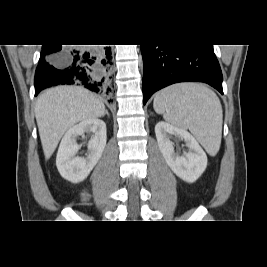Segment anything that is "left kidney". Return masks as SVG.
Instances as JSON below:
<instances>
[{"instance_id":"1","label":"left kidney","mask_w":267,"mask_h":267,"mask_svg":"<svg viewBox=\"0 0 267 267\" xmlns=\"http://www.w3.org/2000/svg\"><path fill=\"white\" fill-rule=\"evenodd\" d=\"M155 134L159 149L171 170L182 180L195 182L207 167L206 153L196 139L185 129L162 121L156 124ZM173 136L183 139L188 151L183 154L175 152L171 141Z\"/></svg>"}]
</instances>
